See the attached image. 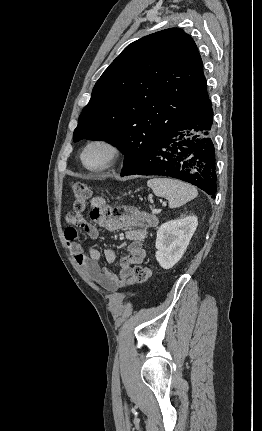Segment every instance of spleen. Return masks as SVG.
<instances>
[{"instance_id": "spleen-1", "label": "spleen", "mask_w": 262, "mask_h": 431, "mask_svg": "<svg viewBox=\"0 0 262 431\" xmlns=\"http://www.w3.org/2000/svg\"><path fill=\"white\" fill-rule=\"evenodd\" d=\"M147 185L156 196L167 198L170 208L186 204L198 195L192 185L171 178H151Z\"/></svg>"}]
</instances>
